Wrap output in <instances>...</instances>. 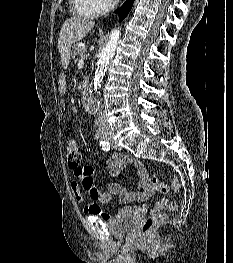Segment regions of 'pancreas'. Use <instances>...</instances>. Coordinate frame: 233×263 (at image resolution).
<instances>
[{
  "label": "pancreas",
  "instance_id": "obj_1",
  "mask_svg": "<svg viewBox=\"0 0 233 263\" xmlns=\"http://www.w3.org/2000/svg\"><path fill=\"white\" fill-rule=\"evenodd\" d=\"M73 55L76 61L78 58L83 59L85 57V49L80 46H73Z\"/></svg>",
  "mask_w": 233,
  "mask_h": 263
}]
</instances>
